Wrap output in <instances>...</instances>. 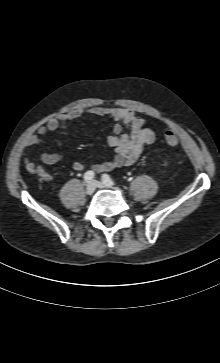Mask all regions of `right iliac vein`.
I'll list each match as a JSON object with an SVG mask.
<instances>
[{"label": "right iliac vein", "mask_w": 220, "mask_h": 363, "mask_svg": "<svg viewBox=\"0 0 220 363\" xmlns=\"http://www.w3.org/2000/svg\"><path fill=\"white\" fill-rule=\"evenodd\" d=\"M95 191V185L93 182H89L86 186V193L88 195H92Z\"/></svg>", "instance_id": "63e3f726"}]
</instances>
